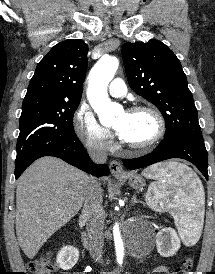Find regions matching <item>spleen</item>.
I'll list each match as a JSON object with an SVG mask.
<instances>
[{
    "label": "spleen",
    "instance_id": "obj_1",
    "mask_svg": "<svg viewBox=\"0 0 215 274\" xmlns=\"http://www.w3.org/2000/svg\"><path fill=\"white\" fill-rule=\"evenodd\" d=\"M142 175L155 179L145 195L155 211H168L186 243H194L202 228L205 193L200 179L184 164L168 162L143 170Z\"/></svg>",
    "mask_w": 215,
    "mask_h": 274
}]
</instances>
